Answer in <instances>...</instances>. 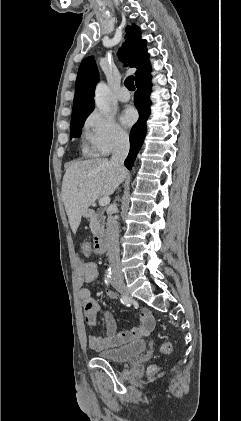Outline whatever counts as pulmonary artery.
<instances>
[{
  "instance_id": "1",
  "label": "pulmonary artery",
  "mask_w": 241,
  "mask_h": 421,
  "mask_svg": "<svg viewBox=\"0 0 241 421\" xmlns=\"http://www.w3.org/2000/svg\"><path fill=\"white\" fill-rule=\"evenodd\" d=\"M130 98V93L125 88H122L117 94V99L121 102H127Z\"/></svg>"
}]
</instances>
